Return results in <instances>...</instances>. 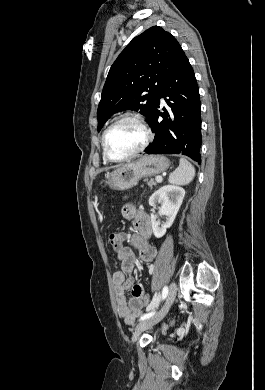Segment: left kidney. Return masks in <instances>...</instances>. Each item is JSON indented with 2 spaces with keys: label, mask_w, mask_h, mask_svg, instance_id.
<instances>
[{
  "label": "left kidney",
  "mask_w": 265,
  "mask_h": 390,
  "mask_svg": "<svg viewBox=\"0 0 265 390\" xmlns=\"http://www.w3.org/2000/svg\"><path fill=\"white\" fill-rule=\"evenodd\" d=\"M185 196V190L179 186L166 185L154 192L149 198V205L155 207L157 204L159 215L165 216L163 224L158 222V216L151 214V224L154 236L161 238L165 235L176 218Z\"/></svg>",
  "instance_id": "1"
}]
</instances>
